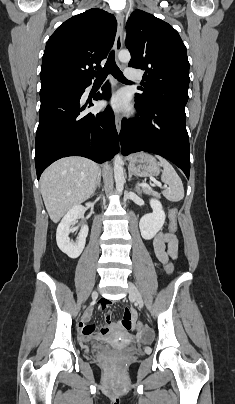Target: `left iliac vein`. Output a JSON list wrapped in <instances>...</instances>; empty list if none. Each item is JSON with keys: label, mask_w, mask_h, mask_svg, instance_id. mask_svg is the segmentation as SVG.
Wrapping results in <instances>:
<instances>
[{"label": "left iliac vein", "mask_w": 235, "mask_h": 404, "mask_svg": "<svg viewBox=\"0 0 235 404\" xmlns=\"http://www.w3.org/2000/svg\"><path fill=\"white\" fill-rule=\"evenodd\" d=\"M129 294L131 297L134 298L135 302L137 303V305L142 308L143 307V299L142 296L139 292V290L136 288V286L129 282V288H128Z\"/></svg>", "instance_id": "1"}]
</instances>
